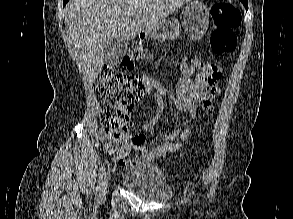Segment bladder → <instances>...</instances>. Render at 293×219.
Masks as SVG:
<instances>
[{
    "mask_svg": "<svg viewBox=\"0 0 293 219\" xmlns=\"http://www.w3.org/2000/svg\"><path fill=\"white\" fill-rule=\"evenodd\" d=\"M123 186L138 198L149 203H165L173 196L164 175L153 166L134 167L121 176Z\"/></svg>",
    "mask_w": 293,
    "mask_h": 219,
    "instance_id": "bladder-1",
    "label": "bladder"
}]
</instances>
